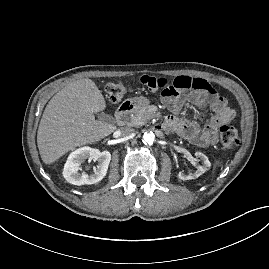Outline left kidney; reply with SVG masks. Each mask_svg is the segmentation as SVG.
<instances>
[{
    "label": "left kidney",
    "instance_id": "obj_1",
    "mask_svg": "<svg viewBox=\"0 0 269 269\" xmlns=\"http://www.w3.org/2000/svg\"><path fill=\"white\" fill-rule=\"evenodd\" d=\"M195 156L197 158H199L202 162V165H199L197 167V170L192 173V174H186L183 171L178 173V178L185 181V180H191V179H195L198 178L200 175H202L203 173H205L207 170H209V168L211 167V163L208 160L207 156L204 155L201 152H196Z\"/></svg>",
    "mask_w": 269,
    "mask_h": 269
}]
</instances>
